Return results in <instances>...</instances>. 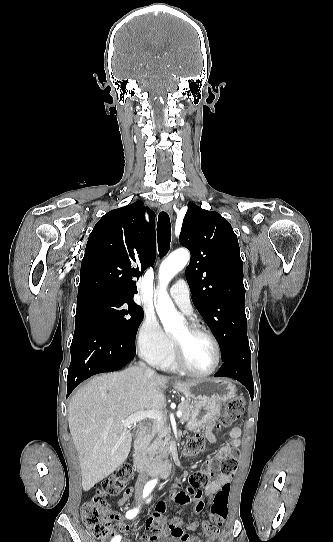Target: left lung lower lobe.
<instances>
[{"label": "left lung lower lobe", "instance_id": "left-lung-lower-lobe-1", "mask_svg": "<svg viewBox=\"0 0 333 542\" xmlns=\"http://www.w3.org/2000/svg\"><path fill=\"white\" fill-rule=\"evenodd\" d=\"M222 361L223 364L215 376L230 377L238 380L248 389L253 399L251 351L248 340L236 344L231 349L229 355Z\"/></svg>", "mask_w": 333, "mask_h": 542}]
</instances>
